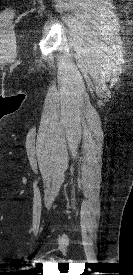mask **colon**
Returning a JSON list of instances; mask_svg holds the SVG:
<instances>
[{
	"instance_id": "colon-1",
	"label": "colon",
	"mask_w": 133,
	"mask_h": 275,
	"mask_svg": "<svg viewBox=\"0 0 133 275\" xmlns=\"http://www.w3.org/2000/svg\"><path fill=\"white\" fill-rule=\"evenodd\" d=\"M4 15L9 17L11 15V13L9 11H6V12H4Z\"/></svg>"
}]
</instances>
